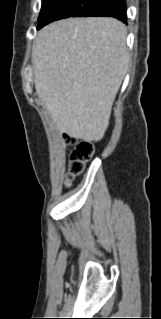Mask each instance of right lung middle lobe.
<instances>
[{"label": "right lung middle lobe", "instance_id": "right-lung-middle-lobe-1", "mask_svg": "<svg viewBox=\"0 0 161 319\" xmlns=\"http://www.w3.org/2000/svg\"><path fill=\"white\" fill-rule=\"evenodd\" d=\"M98 0H42L38 29L46 24L68 17H80Z\"/></svg>", "mask_w": 161, "mask_h": 319}]
</instances>
